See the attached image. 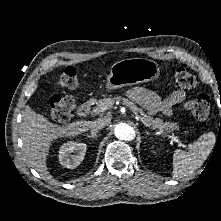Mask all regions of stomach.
<instances>
[{
	"mask_svg": "<svg viewBox=\"0 0 221 221\" xmlns=\"http://www.w3.org/2000/svg\"><path fill=\"white\" fill-rule=\"evenodd\" d=\"M158 64L146 58H128L117 61L107 77L106 89L115 90L124 86L154 81L159 77Z\"/></svg>",
	"mask_w": 221,
	"mask_h": 221,
	"instance_id": "1",
	"label": "stomach"
}]
</instances>
